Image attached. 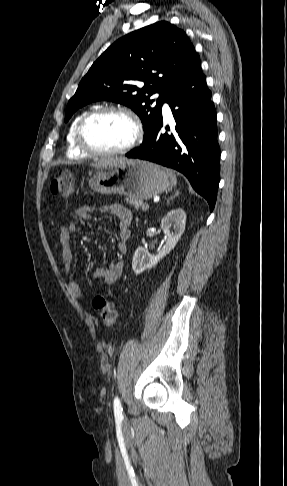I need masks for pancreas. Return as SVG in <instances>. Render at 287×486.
<instances>
[{
  "label": "pancreas",
  "instance_id": "1",
  "mask_svg": "<svg viewBox=\"0 0 287 486\" xmlns=\"http://www.w3.org/2000/svg\"><path fill=\"white\" fill-rule=\"evenodd\" d=\"M126 202H128L130 205L134 206L136 209L142 208V206L144 204L142 200H137V199H133V198H130V197L126 198Z\"/></svg>",
  "mask_w": 287,
  "mask_h": 486
}]
</instances>
